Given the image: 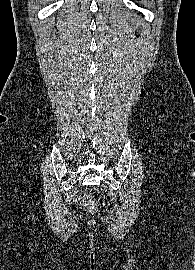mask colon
<instances>
[{
    "instance_id": "1",
    "label": "colon",
    "mask_w": 195,
    "mask_h": 270,
    "mask_svg": "<svg viewBox=\"0 0 195 270\" xmlns=\"http://www.w3.org/2000/svg\"><path fill=\"white\" fill-rule=\"evenodd\" d=\"M77 201L80 205L84 206L90 213H96L98 210L97 202L88 198L85 195L79 196Z\"/></svg>"
}]
</instances>
